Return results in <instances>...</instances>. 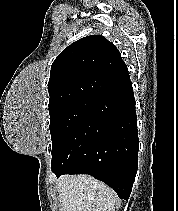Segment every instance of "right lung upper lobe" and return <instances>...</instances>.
I'll return each instance as SVG.
<instances>
[{
    "mask_svg": "<svg viewBox=\"0 0 178 211\" xmlns=\"http://www.w3.org/2000/svg\"><path fill=\"white\" fill-rule=\"evenodd\" d=\"M130 82L114 44L102 35L87 36L69 45L53 62L49 108L79 99L98 101Z\"/></svg>",
    "mask_w": 178,
    "mask_h": 211,
    "instance_id": "1",
    "label": "right lung upper lobe"
}]
</instances>
